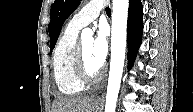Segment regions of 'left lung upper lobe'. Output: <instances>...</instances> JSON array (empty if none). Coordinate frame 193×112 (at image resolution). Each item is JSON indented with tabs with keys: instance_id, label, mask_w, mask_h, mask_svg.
<instances>
[{
	"instance_id": "left-lung-upper-lobe-1",
	"label": "left lung upper lobe",
	"mask_w": 193,
	"mask_h": 112,
	"mask_svg": "<svg viewBox=\"0 0 193 112\" xmlns=\"http://www.w3.org/2000/svg\"><path fill=\"white\" fill-rule=\"evenodd\" d=\"M81 0H55L51 10V21L48 26L50 49H54L64 21L79 6Z\"/></svg>"
}]
</instances>
